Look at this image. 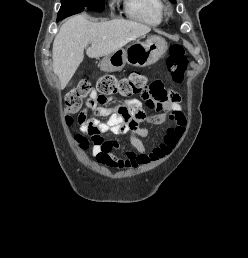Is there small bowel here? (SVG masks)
<instances>
[{
  "label": "small bowel",
  "instance_id": "obj_1",
  "mask_svg": "<svg viewBox=\"0 0 248 258\" xmlns=\"http://www.w3.org/2000/svg\"><path fill=\"white\" fill-rule=\"evenodd\" d=\"M161 86H163L161 82L155 81L157 96L163 95V99H159L157 96L145 97V104L150 109H163L165 111L154 115H148L144 109V103L137 99L128 102L126 113H111L108 108L98 106L96 103L97 93L91 92L89 105L97 116H107L108 119L106 122H91L86 120L83 113L79 121L84 131L94 130L95 133L100 134L107 129L115 132L129 130L135 134L131 142L134 151H127L124 157H119L113 153V150L119 147L116 141L95 143L92 153L98 163L108 167H138L163 160L175 150L186 129V119L180 106L181 96L177 92L166 91ZM168 120L172 122V125L167 128L162 141L148 149L138 138L148 135V129L142 125L143 122L159 125Z\"/></svg>",
  "mask_w": 248,
  "mask_h": 258
}]
</instances>
